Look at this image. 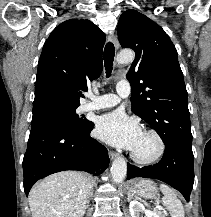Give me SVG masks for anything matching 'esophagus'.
<instances>
[{
  "label": "esophagus",
  "mask_w": 211,
  "mask_h": 217,
  "mask_svg": "<svg viewBox=\"0 0 211 217\" xmlns=\"http://www.w3.org/2000/svg\"><path fill=\"white\" fill-rule=\"evenodd\" d=\"M108 39L115 45L116 48H118V40H117V37L114 33H110L108 35ZM118 156V154L116 152H113V151H109V157L111 159H114Z\"/></svg>",
  "instance_id": "34e87169"
}]
</instances>
